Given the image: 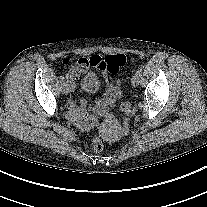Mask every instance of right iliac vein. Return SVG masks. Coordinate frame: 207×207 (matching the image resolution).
I'll return each mask as SVG.
<instances>
[{"mask_svg": "<svg viewBox=\"0 0 207 207\" xmlns=\"http://www.w3.org/2000/svg\"><path fill=\"white\" fill-rule=\"evenodd\" d=\"M70 89H71L70 86L64 84V85H63V88H62V93H63L64 95H67V94L69 93Z\"/></svg>", "mask_w": 207, "mask_h": 207, "instance_id": "right-iliac-vein-1", "label": "right iliac vein"}]
</instances>
